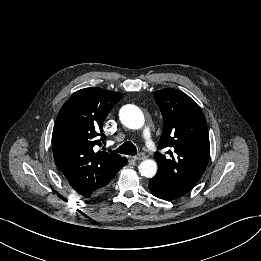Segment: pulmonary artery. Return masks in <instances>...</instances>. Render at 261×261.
Instances as JSON below:
<instances>
[{"label": "pulmonary artery", "instance_id": "obj_1", "mask_svg": "<svg viewBox=\"0 0 261 261\" xmlns=\"http://www.w3.org/2000/svg\"><path fill=\"white\" fill-rule=\"evenodd\" d=\"M149 133H150V129H149V128H145V134H146L145 140H146V143H147L148 145L151 144V140L148 139V134H149Z\"/></svg>", "mask_w": 261, "mask_h": 261}]
</instances>
